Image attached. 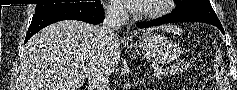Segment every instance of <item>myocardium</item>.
<instances>
[{
    "label": "myocardium",
    "mask_w": 237,
    "mask_h": 90,
    "mask_svg": "<svg viewBox=\"0 0 237 90\" xmlns=\"http://www.w3.org/2000/svg\"><path fill=\"white\" fill-rule=\"evenodd\" d=\"M151 1H144V3L130 7V12L138 16L142 20H155L165 15L169 8L164 3H172V0H156L157 5L151 6Z\"/></svg>",
    "instance_id": "myocardium-1"
}]
</instances>
